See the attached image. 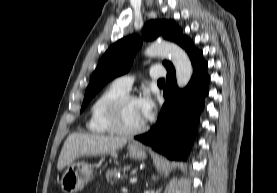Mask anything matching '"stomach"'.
<instances>
[{"label": "stomach", "mask_w": 277, "mask_h": 193, "mask_svg": "<svg viewBox=\"0 0 277 193\" xmlns=\"http://www.w3.org/2000/svg\"><path fill=\"white\" fill-rule=\"evenodd\" d=\"M129 155L138 160H144L147 157L146 149L136 142H130L128 145ZM93 172V166L84 161L72 163L64 171L60 184L65 193H77L83 189L84 185L90 180Z\"/></svg>", "instance_id": "stomach-1"}]
</instances>
